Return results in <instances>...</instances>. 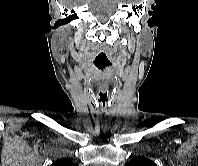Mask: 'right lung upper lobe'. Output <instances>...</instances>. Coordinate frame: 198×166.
<instances>
[{
  "label": "right lung upper lobe",
  "instance_id": "right-lung-upper-lobe-1",
  "mask_svg": "<svg viewBox=\"0 0 198 166\" xmlns=\"http://www.w3.org/2000/svg\"><path fill=\"white\" fill-rule=\"evenodd\" d=\"M51 166H76V165L68 159H61L53 162Z\"/></svg>",
  "mask_w": 198,
  "mask_h": 166
}]
</instances>
